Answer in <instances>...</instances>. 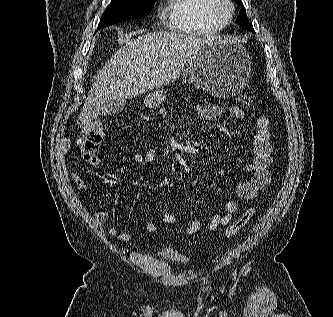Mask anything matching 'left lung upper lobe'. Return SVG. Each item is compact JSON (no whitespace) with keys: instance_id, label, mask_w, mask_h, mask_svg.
<instances>
[{"instance_id":"5c2ea615","label":"left lung upper lobe","mask_w":333,"mask_h":317,"mask_svg":"<svg viewBox=\"0 0 333 317\" xmlns=\"http://www.w3.org/2000/svg\"><path fill=\"white\" fill-rule=\"evenodd\" d=\"M238 4H240L241 6H243L242 1L241 0H235ZM237 22L238 24H240L241 26L245 27L246 29H249L251 31H254L252 24L248 21L247 18V14L246 11L244 10L240 16L237 18Z\"/></svg>"}]
</instances>
